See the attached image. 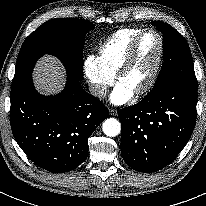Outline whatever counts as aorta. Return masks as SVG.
Segmentation results:
<instances>
[{"mask_svg": "<svg viewBox=\"0 0 206 206\" xmlns=\"http://www.w3.org/2000/svg\"><path fill=\"white\" fill-rule=\"evenodd\" d=\"M102 129L105 135L115 137L120 134L121 124L115 118H108L103 122Z\"/></svg>", "mask_w": 206, "mask_h": 206, "instance_id": "aorta-1", "label": "aorta"}]
</instances>
